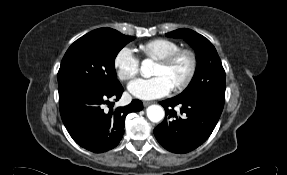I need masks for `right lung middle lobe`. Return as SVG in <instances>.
<instances>
[{
  "label": "right lung middle lobe",
  "mask_w": 287,
  "mask_h": 175,
  "mask_svg": "<svg viewBox=\"0 0 287 175\" xmlns=\"http://www.w3.org/2000/svg\"><path fill=\"white\" fill-rule=\"evenodd\" d=\"M111 28H100L76 40L65 53L58 71L59 93L73 88L113 91L121 84L114 61L118 52L130 41Z\"/></svg>",
  "instance_id": "obj_1"
}]
</instances>
